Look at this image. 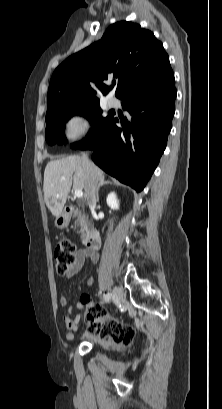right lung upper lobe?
I'll return each instance as SVG.
<instances>
[{"label": "right lung upper lobe", "instance_id": "1", "mask_svg": "<svg viewBox=\"0 0 222 409\" xmlns=\"http://www.w3.org/2000/svg\"><path fill=\"white\" fill-rule=\"evenodd\" d=\"M171 72L169 57L154 34L139 24L120 21L109 26L101 40L68 57L56 68L49 84L47 111L99 102L89 81L96 82L106 95L113 86L103 82L119 78L116 97L124 99L159 88L161 81L157 77Z\"/></svg>", "mask_w": 222, "mask_h": 409}]
</instances>
